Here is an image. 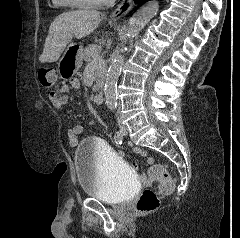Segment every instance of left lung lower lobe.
<instances>
[{
  "instance_id": "0a47b994",
  "label": "left lung lower lobe",
  "mask_w": 240,
  "mask_h": 238,
  "mask_svg": "<svg viewBox=\"0 0 240 238\" xmlns=\"http://www.w3.org/2000/svg\"><path fill=\"white\" fill-rule=\"evenodd\" d=\"M145 1H148V0H136V2H145Z\"/></svg>"
}]
</instances>
